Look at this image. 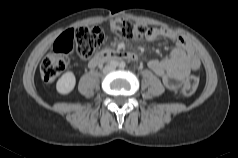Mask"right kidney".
<instances>
[{"label":"right kidney","instance_id":"1","mask_svg":"<svg viewBox=\"0 0 238 158\" xmlns=\"http://www.w3.org/2000/svg\"><path fill=\"white\" fill-rule=\"evenodd\" d=\"M76 84L75 75L72 71L64 73L56 84V89L58 93L62 95H67L74 89Z\"/></svg>","mask_w":238,"mask_h":158}]
</instances>
